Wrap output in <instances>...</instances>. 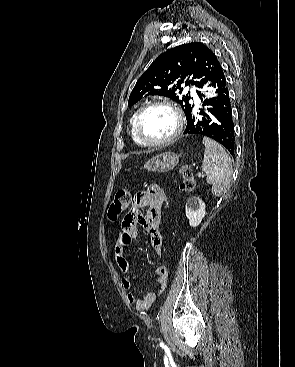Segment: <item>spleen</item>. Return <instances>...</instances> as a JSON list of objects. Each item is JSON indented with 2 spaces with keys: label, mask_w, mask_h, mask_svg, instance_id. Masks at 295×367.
<instances>
[{
  "label": "spleen",
  "mask_w": 295,
  "mask_h": 367,
  "mask_svg": "<svg viewBox=\"0 0 295 367\" xmlns=\"http://www.w3.org/2000/svg\"><path fill=\"white\" fill-rule=\"evenodd\" d=\"M205 145L202 170L207 176V183L212 185V194L221 196L230 187L232 161L225 149L214 140L204 137Z\"/></svg>",
  "instance_id": "1"
}]
</instances>
